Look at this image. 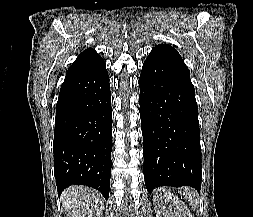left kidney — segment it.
<instances>
[{"label":"left kidney","instance_id":"1","mask_svg":"<svg viewBox=\"0 0 253 217\" xmlns=\"http://www.w3.org/2000/svg\"><path fill=\"white\" fill-rule=\"evenodd\" d=\"M153 202L155 203L157 217H192L187 206L165 188L157 190ZM167 203H170L168 207Z\"/></svg>","mask_w":253,"mask_h":217}]
</instances>
